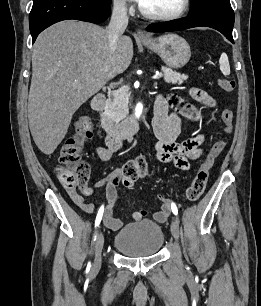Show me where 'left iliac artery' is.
I'll list each match as a JSON object with an SVG mask.
<instances>
[{"label": "left iliac artery", "instance_id": "1", "mask_svg": "<svg viewBox=\"0 0 261 306\" xmlns=\"http://www.w3.org/2000/svg\"><path fill=\"white\" fill-rule=\"evenodd\" d=\"M171 208H172L173 214H174V215H177V214H178V209H177L175 203H172V204H171Z\"/></svg>", "mask_w": 261, "mask_h": 306}]
</instances>
